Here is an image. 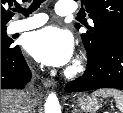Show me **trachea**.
Returning <instances> with one entry per match:
<instances>
[{
    "mask_svg": "<svg viewBox=\"0 0 123 113\" xmlns=\"http://www.w3.org/2000/svg\"><path fill=\"white\" fill-rule=\"evenodd\" d=\"M45 0H34L32 4L29 6L28 9L22 8L21 6H16L13 11L22 13L24 16H28L33 11L37 10L39 6L44 2Z\"/></svg>",
    "mask_w": 123,
    "mask_h": 113,
    "instance_id": "1",
    "label": "trachea"
}]
</instances>
